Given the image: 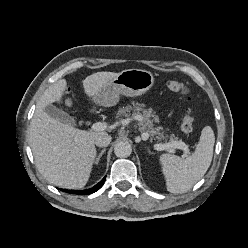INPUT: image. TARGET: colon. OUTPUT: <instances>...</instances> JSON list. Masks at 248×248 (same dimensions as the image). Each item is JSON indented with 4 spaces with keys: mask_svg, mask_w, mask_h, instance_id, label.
Here are the masks:
<instances>
[{
    "mask_svg": "<svg viewBox=\"0 0 248 248\" xmlns=\"http://www.w3.org/2000/svg\"><path fill=\"white\" fill-rule=\"evenodd\" d=\"M167 88L172 93L180 94L184 97H187L189 94L188 87L183 82L180 81H176V80L169 81L167 83ZM194 122L195 119L192 114V111L190 109H187L181 125L182 132L186 135H190L194 130Z\"/></svg>",
    "mask_w": 248,
    "mask_h": 248,
    "instance_id": "obj_1",
    "label": "colon"
}]
</instances>
